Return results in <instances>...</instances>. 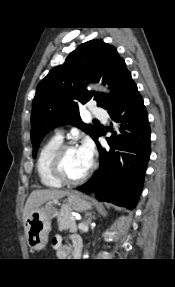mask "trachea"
<instances>
[{"label":"trachea","mask_w":175,"mask_h":287,"mask_svg":"<svg viewBox=\"0 0 175 287\" xmlns=\"http://www.w3.org/2000/svg\"><path fill=\"white\" fill-rule=\"evenodd\" d=\"M94 122H99L98 120H94Z\"/></svg>","instance_id":"3493384b"}]
</instances>
